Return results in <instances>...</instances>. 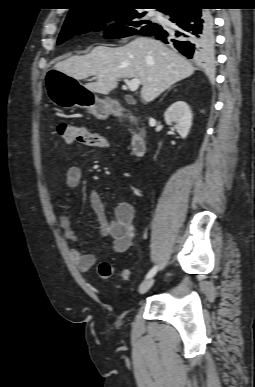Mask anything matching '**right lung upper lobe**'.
Wrapping results in <instances>:
<instances>
[{"instance_id": "1", "label": "right lung upper lobe", "mask_w": 255, "mask_h": 387, "mask_svg": "<svg viewBox=\"0 0 255 387\" xmlns=\"http://www.w3.org/2000/svg\"><path fill=\"white\" fill-rule=\"evenodd\" d=\"M187 1L191 0H76L75 7L70 9L65 22L74 21L95 10L117 7L160 6L158 10L163 11L173 5Z\"/></svg>"}]
</instances>
